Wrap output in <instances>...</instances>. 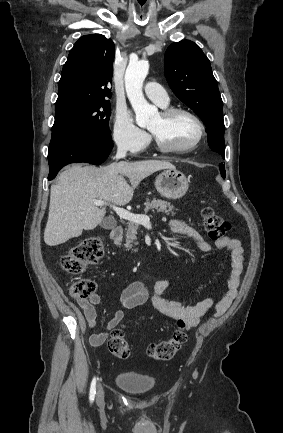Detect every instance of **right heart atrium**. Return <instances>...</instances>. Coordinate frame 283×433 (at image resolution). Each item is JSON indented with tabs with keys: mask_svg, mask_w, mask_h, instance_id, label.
Instances as JSON below:
<instances>
[{
	"mask_svg": "<svg viewBox=\"0 0 283 433\" xmlns=\"http://www.w3.org/2000/svg\"><path fill=\"white\" fill-rule=\"evenodd\" d=\"M111 137L118 150L138 154L149 143L148 134L139 129L132 115L123 109H115L111 117Z\"/></svg>",
	"mask_w": 283,
	"mask_h": 433,
	"instance_id": "obj_1",
	"label": "right heart atrium"
}]
</instances>
